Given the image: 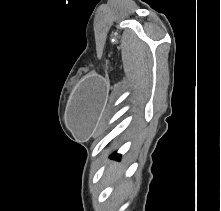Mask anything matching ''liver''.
<instances>
[{"label": "liver", "mask_w": 221, "mask_h": 211, "mask_svg": "<svg viewBox=\"0 0 221 211\" xmlns=\"http://www.w3.org/2000/svg\"><path fill=\"white\" fill-rule=\"evenodd\" d=\"M106 176L112 180H115L120 176V172L118 171V167H117L116 163L112 164L108 168V170L106 172Z\"/></svg>", "instance_id": "liver-1"}]
</instances>
